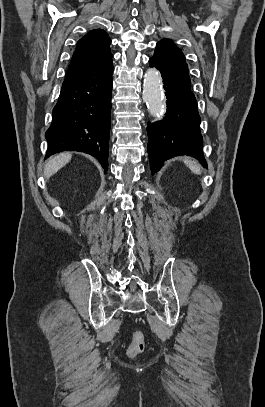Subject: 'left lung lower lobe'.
<instances>
[{
    "mask_svg": "<svg viewBox=\"0 0 265 407\" xmlns=\"http://www.w3.org/2000/svg\"><path fill=\"white\" fill-rule=\"evenodd\" d=\"M149 63L161 72L168 106L163 120L147 126V150L152 173L159 171L164 161L184 154L198 159L207 167L202 151L200 116L190 80L162 67L154 58H150Z\"/></svg>",
    "mask_w": 265,
    "mask_h": 407,
    "instance_id": "0a47b994",
    "label": "left lung lower lobe"
}]
</instances>
